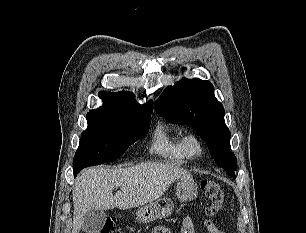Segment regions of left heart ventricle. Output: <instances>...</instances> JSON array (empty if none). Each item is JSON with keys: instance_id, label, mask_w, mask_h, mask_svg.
<instances>
[{"instance_id": "left-heart-ventricle-1", "label": "left heart ventricle", "mask_w": 306, "mask_h": 233, "mask_svg": "<svg viewBox=\"0 0 306 233\" xmlns=\"http://www.w3.org/2000/svg\"><path fill=\"white\" fill-rule=\"evenodd\" d=\"M192 149H193V150H196V146H193Z\"/></svg>"}]
</instances>
